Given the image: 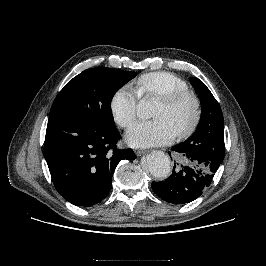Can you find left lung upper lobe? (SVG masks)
I'll list each match as a JSON object with an SVG mask.
<instances>
[{"label":"left lung upper lobe","instance_id":"left-lung-upper-lobe-1","mask_svg":"<svg viewBox=\"0 0 266 266\" xmlns=\"http://www.w3.org/2000/svg\"><path fill=\"white\" fill-rule=\"evenodd\" d=\"M190 82L198 93L202 112L195 133L180 145L187 152L196 153L217 163H222L225 147L221 108L201 80L191 77Z\"/></svg>","mask_w":266,"mask_h":266}]
</instances>
